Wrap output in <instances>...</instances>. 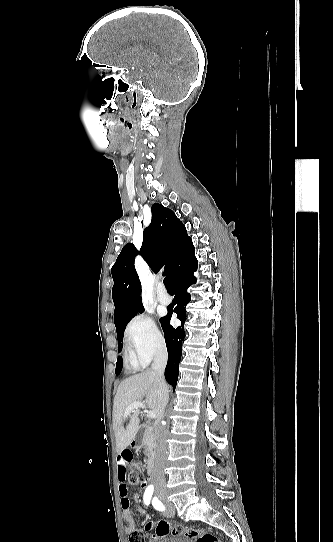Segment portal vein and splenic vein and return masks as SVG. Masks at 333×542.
I'll return each mask as SVG.
<instances>
[{"mask_svg":"<svg viewBox=\"0 0 333 542\" xmlns=\"http://www.w3.org/2000/svg\"><path fill=\"white\" fill-rule=\"evenodd\" d=\"M135 408H143V410H145L146 406L141 404V402H133V404L127 408L125 414H131L132 410H135ZM145 412L148 414V418H156V412H148V410H145Z\"/></svg>","mask_w":333,"mask_h":542,"instance_id":"portal-vein-and-splenic-vein-1","label":"portal vein and splenic vein"}]
</instances>
